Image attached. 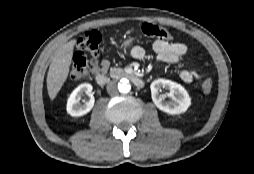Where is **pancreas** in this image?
<instances>
[{"label": "pancreas", "mask_w": 254, "mask_h": 174, "mask_svg": "<svg viewBox=\"0 0 254 174\" xmlns=\"http://www.w3.org/2000/svg\"><path fill=\"white\" fill-rule=\"evenodd\" d=\"M118 74H123V70L120 68H112L110 70L111 77L115 78Z\"/></svg>", "instance_id": "obj_1"}]
</instances>
